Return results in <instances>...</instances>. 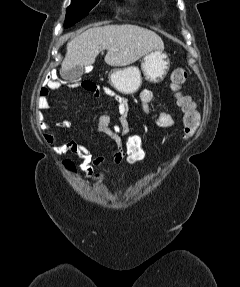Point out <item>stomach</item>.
<instances>
[{
	"label": "stomach",
	"mask_w": 240,
	"mask_h": 287,
	"mask_svg": "<svg viewBox=\"0 0 240 287\" xmlns=\"http://www.w3.org/2000/svg\"><path fill=\"white\" fill-rule=\"evenodd\" d=\"M169 68V58L167 54L160 49L147 53L141 63V70L144 77L151 83L163 81ZM109 81L120 93L133 94L142 84L141 71L135 66L123 69H113L109 73Z\"/></svg>",
	"instance_id": "obj_1"
}]
</instances>
